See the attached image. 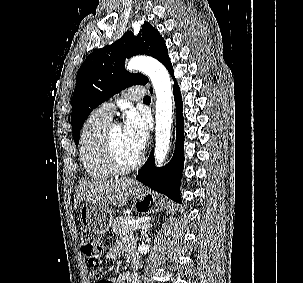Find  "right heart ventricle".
Returning a JSON list of instances; mask_svg holds the SVG:
<instances>
[{
    "mask_svg": "<svg viewBox=\"0 0 303 283\" xmlns=\"http://www.w3.org/2000/svg\"><path fill=\"white\" fill-rule=\"evenodd\" d=\"M110 122L111 118L97 109L89 115L81 129L80 162L85 173L93 180H105L113 175L101 155V139Z\"/></svg>",
    "mask_w": 303,
    "mask_h": 283,
    "instance_id": "e07e8e85",
    "label": "right heart ventricle"
}]
</instances>
